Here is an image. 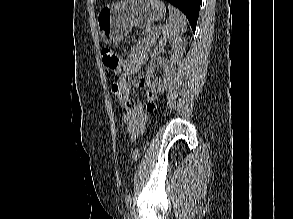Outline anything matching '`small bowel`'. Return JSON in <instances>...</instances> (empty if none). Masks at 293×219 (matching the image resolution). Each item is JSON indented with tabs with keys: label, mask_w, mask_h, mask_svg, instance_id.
I'll list each match as a JSON object with an SVG mask.
<instances>
[{
	"label": "small bowel",
	"mask_w": 293,
	"mask_h": 219,
	"mask_svg": "<svg viewBox=\"0 0 293 219\" xmlns=\"http://www.w3.org/2000/svg\"><path fill=\"white\" fill-rule=\"evenodd\" d=\"M150 52L149 42L142 40L136 46L132 47L129 56L122 63V74L120 79L114 83L112 89L116 99L122 106V121L125 132L130 136L132 141L144 132L145 126L149 119V112L155 108L157 95L152 90L146 91V110L140 103L132 101L129 98L131 87H145V77H140L133 81L128 78L136 74L142 64L147 60Z\"/></svg>",
	"instance_id": "small-bowel-1"
}]
</instances>
